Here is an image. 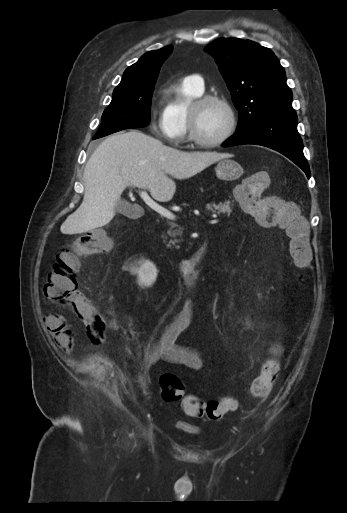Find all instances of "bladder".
<instances>
[{
	"mask_svg": "<svg viewBox=\"0 0 347 513\" xmlns=\"http://www.w3.org/2000/svg\"><path fill=\"white\" fill-rule=\"evenodd\" d=\"M177 427L185 432L196 434L198 431L196 428L189 425L187 422L180 421L177 423Z\"/></svg>",
	"mask_w": 347,
	"mask_h": 513,
	"instance_id": "31cf9c89",
	"label": "bladder"
}]
</instances>
